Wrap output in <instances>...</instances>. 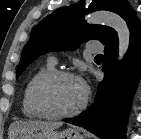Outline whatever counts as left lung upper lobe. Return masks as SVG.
Masks as SVG:
<instances>
[{"label": "left lung upper lobe", "mask_w": 141, "mask_h": 139, "mask_svg": "<svg viewBox=\"0 0 141 139\" xmlns=\"http://www.w3.org/2000/svg\"><path fill=\"white\" fill-rule=\"evenodd\" d=\"M106 9L119 14L128 27L139 19L127 0H92L86 12ZM83 2L62 7L44 18L33 30L17 68L18 78L37 57L51 50L75 49L81 42L96 39L105 44L117 36L114 29L83 22Z\"/></svg>", "instance_id": "5c2ea615"}]
</instances>
